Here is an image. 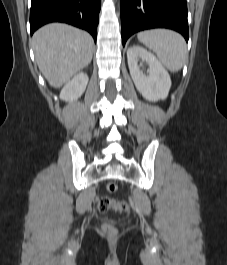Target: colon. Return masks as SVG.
Instances as JSON below:
<instances>
[{
    "label": "colon",
    "mask_w": 227,
    "mask_h": 265,
    "mask_svg": "<svg viewBox=\"0 0 227 265\" xmlns=\"http://www.w3.org/2000/svg\"><path fill=\"white\" fill-rule=\"evenodd\" d=\"M106 189L109 193H115L117 191V185L114 182H109L106 185ZM98 209L102 213H106L109 210L113 209L120 213H127L129 211V205L127 202H115L109 198L103 197L98 202ZM103 231L109 235H114L116 229L110 224L103 225Z\"/></svg>",
    "instance_id": "5ec220e1"
}]
</instances>
